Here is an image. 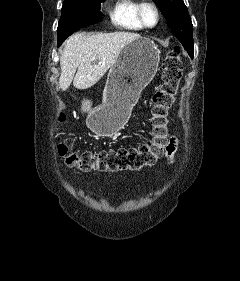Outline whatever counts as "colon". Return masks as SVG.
I'll return each instance as SVG.
<instances>
[{
    "label": "colon",
    "mask_w": 240,
    "mask_h": 281,
    "mask_svg": "<svg viewBox=\"0 0 240 281\" xmlns=\"http://www.w3.org/2000/svg\"><path fill=\"white\" fill-rule=\"evenodd\" d=\"M162 68V82L152 99L151 138L138 147L101 151H76L59 138L58 152L67 165L82 171H139L155 165L166 156L170 139L168 113L175 101L183 71L180 50L177 47L167 52ZM59 119L63 121L64 114Z\"/></svg>",
    "instance_id": "5ec220e1"
}]
</instances>
